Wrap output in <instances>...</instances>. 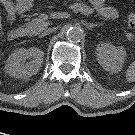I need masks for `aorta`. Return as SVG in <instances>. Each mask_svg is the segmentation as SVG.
<instances>
[{
  "label": "aorta",
  "instance_id": "obj_1",
  "mask_svg": "<svg viewBox=\"0 0 135 135\" xmlns=\"http://www.w3.org/2000/svg\"><path fill=\"white\" fill-rule=\"evenodd\" d=\"M83 36V30L79 26H69L66 29V37L70 41L79 42Z\"/></svg>",
  "mask_w": 135,
  "mask_h": 135
}]
</instances>
